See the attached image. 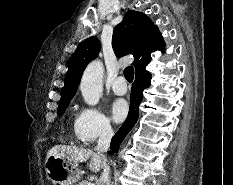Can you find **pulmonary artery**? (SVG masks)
<instances>
[{
    "label": "pulmonary artery",
    "mask_w": 233,
    "mask_h": 185,
    "mask_svg": "<svg viewBox=\"0 0 233 185\" xmlns=\"http://www.w3.org/2000/svg\"><path fill=\"white\" fill-rule=\"evenodd\" d=\"M113 91L118 95H123L127 92V85L123 76L117 77L112 83Z\"/></svg>",
    "instance_id": "pulmonary-artery-1"
}]
</instances>
